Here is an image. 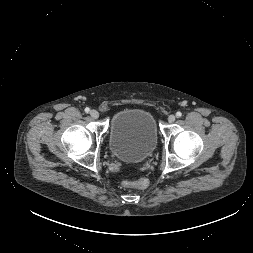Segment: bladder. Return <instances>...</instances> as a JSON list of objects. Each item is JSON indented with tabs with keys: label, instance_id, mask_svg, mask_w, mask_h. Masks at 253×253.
I'll use <instances>...</instances> for the list:
<instances>
[{
	"label": "bladder",
	"instance_id": "bladder-1",
	"mask_svg": "<svg viewBox=\"0 0 253 253\" xmlns=\"http://www.w3.org/2000/svg\"><path fill=\"white\" fill-rule=\"evenodd\" d=\"M158 143L153 115L142 108L116 112L110 121L109 149L121 161L140 163L149 158Z\"/></svg>",
	"mask_w": 253,
	"mask_h": 253
}]
</instances>
